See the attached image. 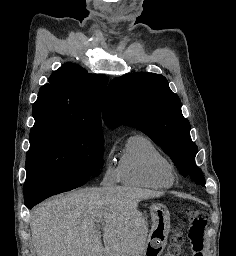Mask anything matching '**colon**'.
Masks as SVG:
<instances>
[{
    "label": "colon",
    "mask_w": 236,
    "mask_h": 256,
    "mask_svg": "<svg viewBox=\"0 0 236 256\" xmlns=\"http://www.w3.org/2000/svg\"><path fill=\"white\" fill-rule=\"evenodd\" d=\"M190 221L188 230V239L192 256H204V232L207 227V209L198 205L195 208L186 212ZM173 242L177 245H181L183 239L180 235H176L173 238ZM169 256H177V253H169Z\"/></svg>",
    "instance_id": "obj_1"
}]
</instances>
